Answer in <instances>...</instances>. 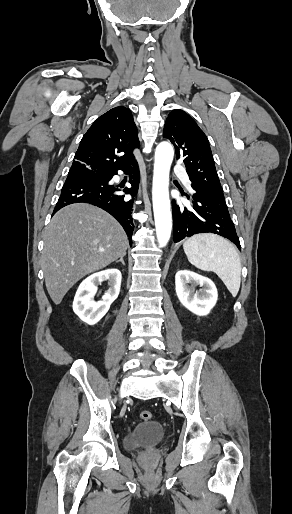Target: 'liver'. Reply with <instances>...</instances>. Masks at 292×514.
Returning <instances> with one entry per match:
<instances>
[{"instance_id": "1", "label": "liver", "mask_w": 292, "mask_h": 514, "mask_svg": "<svg viewBox=\"0 0 292 514\" xmlns=\"http://www.w3.org/2000/svg\"><path fill=\"white\" fill-rule=\"evenodd\" d=\"M43 240L42 270L54 304H61L78 280L126 256L128 246L117 220L90 204L59 210L43 232Z\"/></svg>"}]
</instances>
